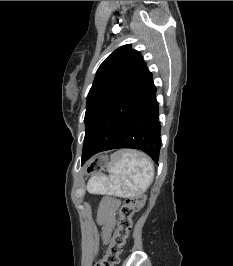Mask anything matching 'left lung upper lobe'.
Wrapping results in <instances>:
<instances>
[{"label": "left lung upper lobe", "mask_w": 233, "mask_h": 266, "mask_svg": "<svg viewBox=\"0 0 233 266\" xmlns=\"http://www.w3.org/2000/svg\"><path fill=\"white\" fill-rule=\"evenodd\" d=\"M146 64L140 52L124 45L100 65L87 97L84 144L112 102L135 80Z\"/></svg>", "instance_id": "1"}]
</instances>
